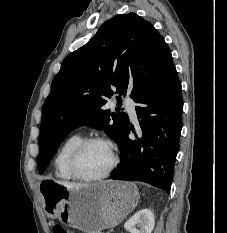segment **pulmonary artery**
Returning a JSON list of instances; mask_svg holds the SVG:
<instances>
[{"mask_svg":"<svg viewBox=\"0 0 227 233\" xmlns=\"http://www.w3.org/2000/svg\"><path fill=\"white\" fill-rule=\"evenodd\" d=\"M125 108H126L128 114L130 115L131 119L136 120L137 115H136V109H135V102L130 100V99H126L125 100Z\"/></svg>","mask_w":227,"mask_h":233,"instance_id":"pulmonary-artery-1","label":"pulmonary artery"}]
</instances>
